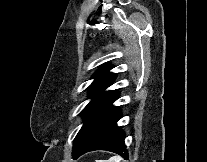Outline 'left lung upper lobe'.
Wrapping results in <instances>:
<instances>
[{
    "label": "left lung upper lobe",
    "instance_id": "obj_1",
    "mask_svg": "<svg viewBox=\"0 0 207 162\" xmlns=\"http://www.w3.org/2000/svg\"><path fill=\"white\" fill-rule=\"evenodd\" d=\"M110 69H111L110 65H104L93 75V78L95 80L89 87V96L92 98V100L81 112V115L83 116V120H84V125L86 124L88 119L91 117V115L104 102H106L112 95L116 93V90L104 92V89H106L114 80L115 74L110 73L109 72ZM81 130L78 132L77 136L79 135Z\"/></svg>",
    "mask_w": 207,
    "mask_h": 162
}]
</instances>
